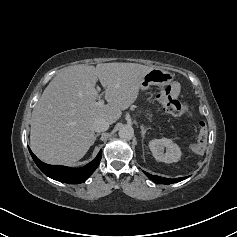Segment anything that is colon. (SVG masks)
<instances>
[{"label":"colon","instance_id":"1","mask_svg":"<svg viewBox=\"0 0 237 237\" xmlns=\"http://www.w3.org/2000/svg\"><path fill=\"white\" fill-rule=\"evenodd\" d=\"M161 101L167 113L173 116L183 115L193 109V107L183 98L173 96L170 88L161 94ZM208 130L205 122L198 123V137L192 145V151L196 154L204 152L207 145Z\"/></svg>","mask_w":237,"mask_h":237}]
</instances>
